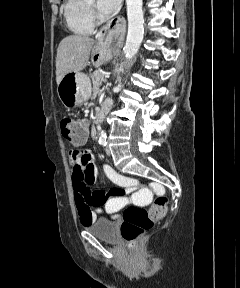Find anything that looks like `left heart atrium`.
Segmentation results:
<instances>
[{"mask_svg":"<svg viewBox=\"0 0 240 288\" xmlns=\"http://www.w3.org/2000/svg\"><path fill=\"white\" fill-rule=\"evenodd\" d=\"M121 0H97V8L102 16H110L119 7Z\"/></svg>","mask_w":240,"mask_h":288,"instance_id":"left-heart-atrium-1","label":"left heart atrium"}]
</instances>
